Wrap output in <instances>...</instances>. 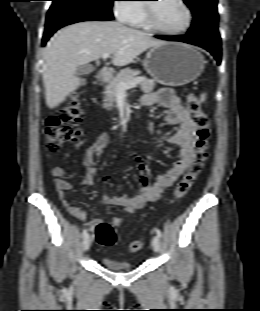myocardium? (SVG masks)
<instances>
[{"instance_id": "1", "label": "myocardium", "mask_w": 260, "mask_h": 311, "mask_svg": "<svg viewBox=\"0 0 260 311\" xmlns=\"http://www.w3.org/2000/svg\"><path fill=\"white\" fill-rule=\"evenodd\" d=\"M181 6L185 9L186 11V15H187V19H186V23L185 25L177 30H168L165 28H162L161 26L158 25V23L156 22L155 16H154V6L153 3H147L144 4V14H145V20L148 24V26L159 32L162 34H166V35H171V36H175V35H180L183 34L185 32H187L193 23V14H192V10L190 8V6L188 5V3L185 0H177Z\"/></svg>"}]
</instances>
